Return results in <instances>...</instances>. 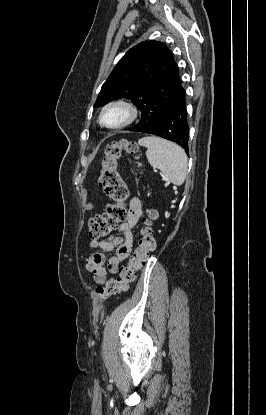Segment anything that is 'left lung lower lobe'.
Returning a JSON list of instances; mask_svg holds the SVG:
<instances>
[{
    "label": "left lung lower lobe",
    "instance_id": "obj_1",
    "mask_svg": "<svg viewBox=\"0 0 266 415\" xmlns=\"http://www.w3.org/2000/svg\"><path fill=\"white\" fill-rule=\"evenodd\" d=\"M142 132L154 134L179 144L187 154L189 128L187 124L186 92L179 98L157 122Z\"/></svg>",
    "mask_w": 266,
    "mask_h": 415
}]
</instances>
